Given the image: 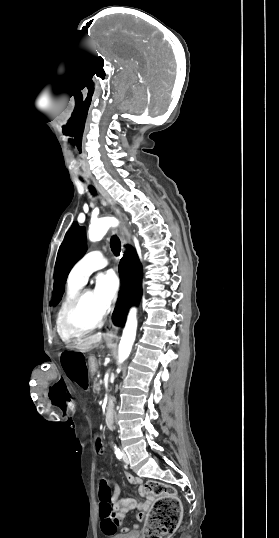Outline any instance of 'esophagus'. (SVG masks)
Instances as JSON below:
<instances>
[{
	"mask_svg": "<svg viewBox=\"0 0 279 538\" xmlns=\"http://www.w3.org/2000/svg\"><path fill=\"white\" fill-rule=\"evenodd\" d=\"M93 182H94V185L96 186L97 190L101 193L103 199L105 200L106 204L109 205L114 214L116 215V217L120 220V227H119V234H120V239H121V243L122 245H126L128 243H130V234H129V231L126 227V224H125V221L122 217V214L119 210V208L117 207L116 203L112 200V198L109 196V194L106 192V190L100 185V183H98L94 178H92ZM117 333H118V328L115 327L112 323H110L108 325V328L106 330V333H104V338L105 339H113L117 336Z\"/></svg>",
	"mask_w": 279,
	"mask_h": 538,
	"instance_id": "esophagus-1",
	"label": "esophagus"
}]
</instances>
